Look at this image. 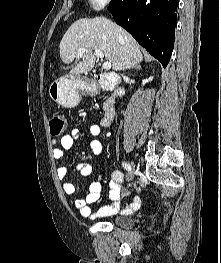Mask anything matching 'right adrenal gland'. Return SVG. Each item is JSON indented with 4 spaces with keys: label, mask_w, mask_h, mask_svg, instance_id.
<instances>
[{
    "label": "right adrenal gland",
    "mask_w": 221,
    "mask_h": 263,
    "mask_svg": "<svg viewBox=\"0 0 221 263\" xmlns=\"http://www.w3.org/2000/svg\"><path fill=\"white\" fill-rule=\"evenodd\" d=\"M131 68H134V69H140V65H135V66H133V67H131ZM131 68H128V70H130Z\"/></svg>",
    "instance_id": "2a0ac1e0"
}]
</instances>
